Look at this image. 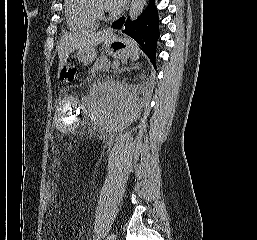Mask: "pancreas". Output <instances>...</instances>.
<instances>
[{
  "instance_id": "pancreas-1",
  "label": "pancreas",
  "mask_w": 257,
  "mask_h": 240,
  "mask_svg": "<svg viewBox=\"0 0 257 240\" xmlns=\"http://www.w3.org/2000/svg\"><path fill=\"white\" fill-rule=\"evenodd\" d=\"M111 67L110 61L106 57H100L97 59L93 68L91 69V73H100L101 71H109Z\"/></svg>"
}]
</instances>
